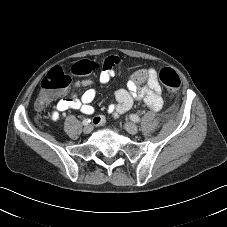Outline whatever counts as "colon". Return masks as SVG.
<instances>
[{
    "mask_svg": "<svg viewBox=\"0 0 227 227\" xmlns=\"http://www.w3.org/2000/svg\"><path fill=\"white\" fill-rule=\"evenodd\" d=\"M95 68V62L83 59L73 63L70 70L74 74L84 76L91 74ZM159 80L170 93L178 92L181 87L179 75L171 68L161 69L159 72ZM70 83L71 78L62 67H53L40 82L35 108L42 109L57 97L62 90L69 87Z\"/></svg>",
    "mask_w": 227,
    "mask_h": 227,
    "instance_id": "1",
    "label": "colon"
}]
</instances>
